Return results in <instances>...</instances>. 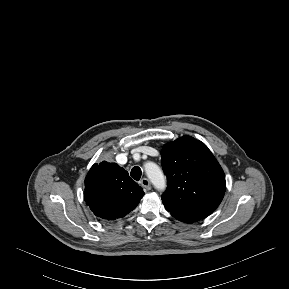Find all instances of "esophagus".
<instances>
[{"label":"esophagus","mask_w":289,"mask_h":289,"mask_svg":"<svg viewBox=\"0 0 289 289\" xmlns=\"http://www.w3.org/2000/svg\"><path fill=\"white\" fill-rule=\"evenodd\" d=\"M141 186L145 189V190H150L151 189V183L147 178H143L140 181Z\"/></svg>","instance_id":"esophagus-1"}]
</instances>
